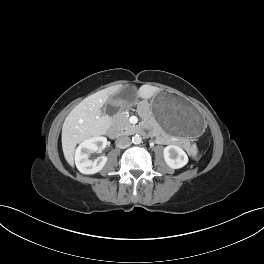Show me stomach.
<instances>
[{
    "instance_id": "obj_1",
    "label": "stomach",
    "mask_w": 264,
    "mask_h": 264,
    "mask_svg": "<svg viewBox=\"0 0 264 264\" xmlns=\"http://www.w3.org/2000/svg\"><path fill=\"white\" fill-rule=\"evenodd\" d=\"M128 88L112 94L109 102L117 107H129L135 100ZM152 117L173 136L183 139L198 137L205 124L204 118L198 110L184 97L169 91H161L154 95L148 104Z\"/></svg>"
}]
</instances>
